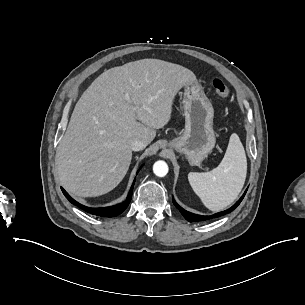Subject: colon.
Segmentation results:
<instances>
[{"label":"colon","instance_id":"obj_1","mask_svg":"<svg viewBox=\"0 0 305 305\" xmlns=\"http://www.w3.org/2000/svg\"><path fill=\"white\" fill-rule=\"evenodd\" d=\"M212 87L217 94V101L220 103L226 102L230 98V90L227 84L219 79L215 78L212 80Z\"/></svg>","mask_w":305,"mask_h":305}]
</instances>
